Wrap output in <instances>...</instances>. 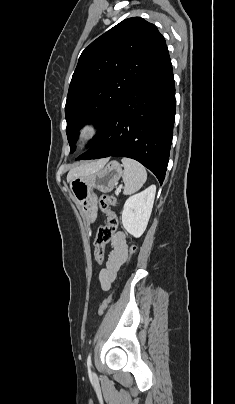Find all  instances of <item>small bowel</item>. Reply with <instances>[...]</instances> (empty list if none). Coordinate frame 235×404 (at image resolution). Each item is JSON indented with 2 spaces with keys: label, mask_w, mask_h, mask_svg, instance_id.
I'll list each match as a JSON object with an SVG mask.
<instances>
[{
  "label": "small bowel",
  "mask_w": 235,
  "mask_h": 404,
  "mask_svg": "<svg viewBox=\"0 0 235 404\" xmlns=\"http://www.w3.org/2000/svg\"><path fill=\"white\" fill-rule=\"evenodd\" d=\"M128 258L126 236L122 231L114 234L111 240V251L107 257L105 268L99 273L102 290L107 291L117 277L118 271Z\"/></svg>",
  "instance_id": "c3829d8e"
}]
</instances>
